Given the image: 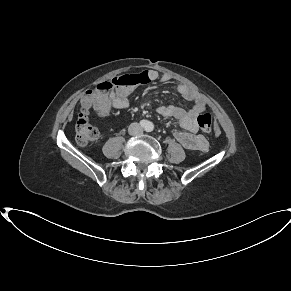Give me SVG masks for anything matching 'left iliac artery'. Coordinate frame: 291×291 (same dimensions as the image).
Instances as JSON below:
<instances>
[{
	"label": "left iliac artery",
	"mask_w": 291,
	"mask_h": 291,
	"mask_svg": "<svg viewBox=\"0 0 291 291\" xmlns=\"http://www.w3.org/2000/svg\"><path fill=\"white\" fill-rule=\"evenodd\" d=\"M153 129V126L150 124V125H148V127H147V130L148 131H151Z\"/></svg>",
	"instance_id": "44dca946"
}]
</instances>
